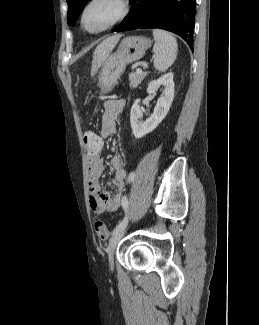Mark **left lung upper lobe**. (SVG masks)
<instances>
[{"label":"left lung upper lobe","instance_id":"obj_1","mask_svg":"<svg viewBox=\"0 0 259 325\" xmlns=\"http://www.w3.org/2000/svg\"><path fill=\"white\" fill-rule=\"evenodd\" d=\"M87 2L88 0H67L69 25H73L75 23Z\"/></svg>","mask_w":259,"mask_h":325}]
</instances>
